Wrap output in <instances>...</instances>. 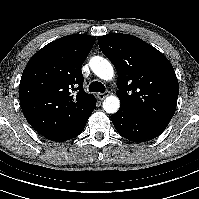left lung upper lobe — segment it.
Returning a JSON list of instances; mask_svg holds the SVG:
<instances>
[{
    "label": "left lung upper lobe",
    "instance_id": "obj_1",
    "mask_svg": "<svg viewBox=\"0 0 199 199\" xmlns=\"http://www.w3.org/2000/svg\"><path fill=\"white\" fill-rule=\"evenodd\" d=\"M101 51L115 66L117 96L136 114L168 125L179 94L169 60L140 38L120 33L98 37Z\"/></svg>",
    "mask_w": 199,
    "mask_h": 199
}]
</instances>
